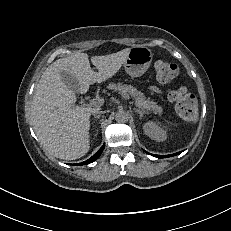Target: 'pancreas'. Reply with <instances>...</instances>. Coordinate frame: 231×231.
I'll return each mask as SVG.
<instances>
[{
    "label": "pancreas",
    "mask_w": 231,
    "mask_h": 231,
    "mask_svg": "<svg viewBox=\"0 0 231 231\" xmlns=\"http://www.w3.org/2000/svg\"><path fill=\"white\" fill-rule=\"evenodd\" d=\"M108 89L131 95L134 99V104L145 112L151 111L158 115H161L163 112V109L156 102L150 101L149 98H146L143 93L131 85L110 83Z\"/></svg>",
    "instance_id": "cf45deb5"
}]
</instances>
